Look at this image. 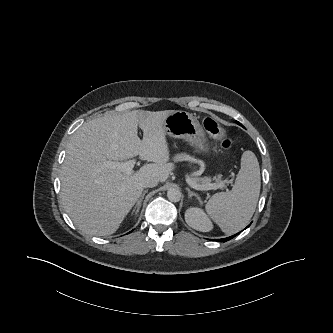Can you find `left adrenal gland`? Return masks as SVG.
<instances>
[{"mask_svg":"<svg viewBox=\"0 0 333 333\" xmlns=\"http://www.w3.org/2000/svg\"><path fill=\"white\" fill-rule=\"evenodd\" d=\"M186 190L188 191L189 198H191L192 196H195L198 200H200V197L198 196V194L192 192L188 187L186 188Z\"/></svg>","mask_w":333,"mask_h":333,"instance_id":"1","label":"left adrenal gland"}]
</instances>
